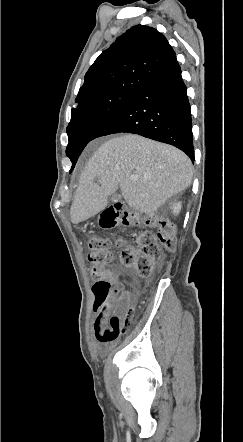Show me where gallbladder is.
Instances as JSON below:
<instances>
[{"instance_id": "bac80fb5", "label": "gallbladder", "mask_w": 243, "mask_h": 442, "mask_svg": "<svg viewBox=\"0 0 243 442\" xmlns=\"http://www.w3.org/2000/svg\"><path fill=\"white\" fill-rule=\"evenodd\" d=\"M121 198H122V196L120 194H116V193H113L110 196L111 201H114V202L121 200Z\"/></svg>"}]
</instances>
